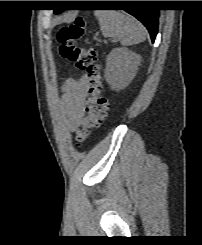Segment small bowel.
Listing matches in <instances>:
<instances>
[{
    "label": "small bowel",
    "mask_w": 202,
    "mask_h": 245,
    "mask_svg": "<svg viewBox=\"0 0 202 245\" xmlns=\"http://www.w3.org/2000/svg\"><path fill=\"white\" fill-rule=\"evenodd\" d=\"M89 79L87 75H82L79 79L69 78L63 84V103L70 111L80 109L87 95ZM78 121H71L69 128L76 130Z\"/></svg>",
    "instance_id": "small-bowel-1"
}]
</instances>
